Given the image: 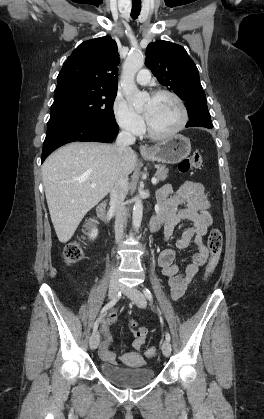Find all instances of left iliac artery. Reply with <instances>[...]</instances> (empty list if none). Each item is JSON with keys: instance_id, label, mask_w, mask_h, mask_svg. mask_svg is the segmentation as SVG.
<instances>
[{"instance_id": "1", "label": "left iliac artery", "mask_w": 264, "mask_h": 419, "mask_svg": "<svg viewBox=\"0 0 264 419\" xmlns=\"http://www.w3.org/2000/svg\"><path fill=\"white\" fill-rule=\"evenodd\" d=\"M143 293L145 294L146 298L149 301H152L153 300L152 293H151V291L148 288H144L143 289ZM165 337H166V340L170 341L171 337H170V334L168 332H166Z\"/></svg>"}]
</instances>
